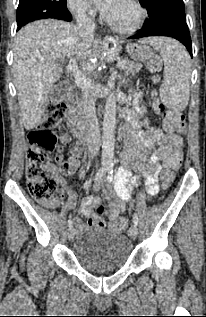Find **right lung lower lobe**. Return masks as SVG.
<instances>
[{
  "label": "right lung lower lobe",
  "instance_id": "1",
  "mask_svg": "<svg viewBox=\"0 0 206 317\" xmlns=\"http://www.w3.org/2000/svg\"><path fill=\"white\" fill-rule=\"evenodd\" d=\"M59 16L57 17V19H61V20H65V21H71L72 17L71 14L68 12L67 14H58ZM20 28H18L17 30H19Z\"/></svg>",
  "mask_w": 206,
  "mask_h": 317
}]
</instances>
